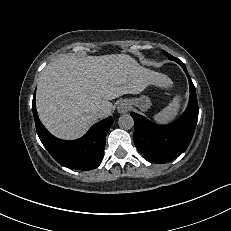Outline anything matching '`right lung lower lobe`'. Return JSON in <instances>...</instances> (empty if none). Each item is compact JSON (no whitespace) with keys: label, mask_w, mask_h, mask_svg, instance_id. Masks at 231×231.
<instances>
[{"label":"right lung lower lobe","mask_w":231,"mask_h":231,"mask_svg":"<svg viewBox=\"0 0 231 231\" xmlns=\"http://www.w3.org/2000/svg\"><path fill=\"white\" fill-rule=\"evenodd\" d=\"M32 109L37 134L44 147L58 163L78 170H92L100 165L106 134L113 123L112 117L94 124L80 139L65 141L50 134L40 122L35 106V94Z\"/></svg>","instance_id":"1"}]
</instances>
